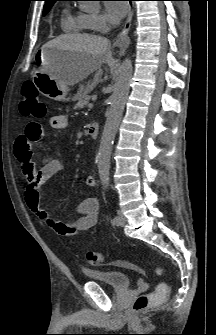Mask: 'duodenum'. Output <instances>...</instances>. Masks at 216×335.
Listing matches in <instances>:
<instances>
[{"instance_id":"obj_1","label":"duodenum","mask_w":216,"mask_h":335,"mask_svg":"<svg viewBox=\"0 0 216 335\" xmlns=\"http://www.w3.org/2000/svg\"><path fill=\"white\" fill-rule=\"evenodd\" d=\"M98 130H99L98 124L95 123L91 124L88 128L89 135L92 138H96L98 136Z\"/></svg>"}]
</instances>
